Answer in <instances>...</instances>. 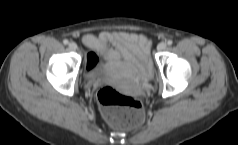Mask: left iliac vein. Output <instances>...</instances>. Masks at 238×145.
<instances>
[{"instance_id":"1","label":"left iliac vein","mask_w":238,"mask_h":145,"mask_svg":"<svg viewBox=\"0 0 238 145\" xmlns=\"http://www.w3.org/2000/svg\"><path fill=\"white\" fill-rule=\"evenodd\" d=\"M166 47H167L166 43L161 42V43L158 44L157 49H158V51H163V50L166 49Z\"/></svg>"}]
</instances>
